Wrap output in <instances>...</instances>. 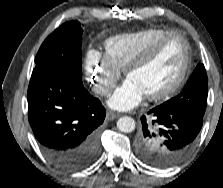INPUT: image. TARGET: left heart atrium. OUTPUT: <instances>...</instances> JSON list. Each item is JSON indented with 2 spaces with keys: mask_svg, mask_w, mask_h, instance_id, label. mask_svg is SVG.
I'll return each instance as SVG.
<instances>
[{
  "mask_svg": "<svg viewBox=\"0 0 223 188\" xmlns=\"http://www.w3.org/2000/svg\"><path fill=\"white\" fill-rule=\"evenodd\" d=\"M144 92L129 78L109 98L110 107L129 110L137 106L144 98Z\"/></svg>",
  "mask_w": 223,
  "mask_h": 188,
  "instance_id": "obj_1",
  "label": "left heart atrium"
}]
</instances>
